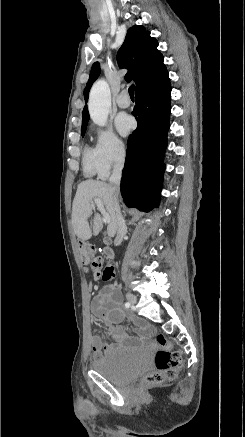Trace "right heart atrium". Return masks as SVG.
Wrapping results in <instances>:
<instances>
[{"mask_svg":"<svg viewBox=\"0 0 245 437\" xmlns=\"http://www.w3.org/2000/svg\"><path fill=\"white\" fill-rule=\"evenodd\" d=\"M95 146L93 149L98 174L107 177L111 170L119 167L125 159L126 145L111 128L95 129Z\"/></svg>","mask_w":245,"mask_h":437,"instance_id":"right-heart-atrium-1","label":"right heart atrium"}]
</instances>
